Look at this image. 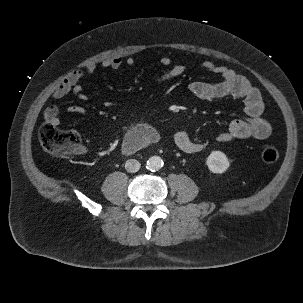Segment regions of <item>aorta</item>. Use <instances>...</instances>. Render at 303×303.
<instances>
[{
    "mask_svg": "<svg viewBox=\"0 0 303 303\" xmlns=\"http://www.w3.org/2000/svg\"><path fill=\"white\" fill-rule=\"evenodd\" d=\"M163 160L160 156H152L146 162V168L150 171H158L163 166Z\"/></svg>",
    "mask_w": 303,
    "mask_h": 303,
    "instance_id": "obj_1",
    "label": "aorta"
}]
</instances>
